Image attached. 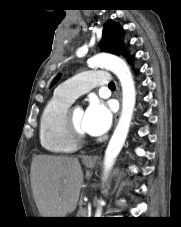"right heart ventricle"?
<instances>
[{"label": "right heart ventricle", "instance_id": "e07e8e85", "mask_svg": "<svg viewBox=\"0 0 181 227\" xmlns=\"http://www.w3.org/2000/svg\"><path fill=\"white\" fill-rule=\"evenodd\" d=\"M71 103V100L55 92L41 113L40 143L51 153H71L77 148V143L71 138L65 125L66 112Z\"/></svg>", "mask_w": 181, "mask_h": 227}]
</instances>
